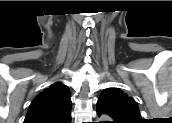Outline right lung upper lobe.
<instances>
[{"label": "right lung upper lobe", "instance_id": "1", "mask_svg": "<svg viewBox=\"0 0 172 123\" xmlns=\"http://www.w3.org/2000/svg\"><path fill=\"white\" fill-rule=\"evenodd\" d=\"M71 108L69 88L57 82L34 98L24 123H71Z\"/></svg>", "mask_w": 172, "mask_h": 123}]
</instances>
